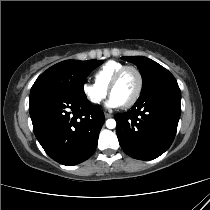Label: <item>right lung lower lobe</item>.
I'll return each instance as SVG.
<instances>
[{
  "instance_id": "right-lung-lower-lobe-1",
  "label": "right lung lower lobe",
  "mask_w": 210,
  "mask_h": 210,
  "mask_svg": "<svg viewBox=\"0 0 210 210\" xmlns=\"http://www.w3.org/2000/svg\"><path fill=\"white\" fill-rule=\"evenodd\" d=\"M33 130L45 152L72 166L93 155L105 117L87 98L48 92L30 97Z\"/></svg>"
}]
</instances>
